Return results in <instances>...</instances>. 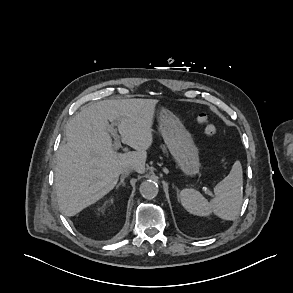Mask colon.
Returning a JSON list of instances; mask_svg holds the SVG:
<instances>
[{
  "label": "colon",
  "mask_w": 293,
  "mask_h": 293,
  "mask_svg": "<svg viewBox=\"0 0 293 293\" xmlns=\"http://www.w3.org/2000/svg\"><path fill=\"white\" fill-rule=\"evenodd\" d=\"M197 119L200 123L205 124V132L208 135H213L216 132V125L211 122L210 116L207 113H199Z\"/></svg>",
  "instance_id": "5ec220e1"
}]
</instances>
